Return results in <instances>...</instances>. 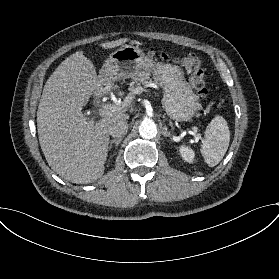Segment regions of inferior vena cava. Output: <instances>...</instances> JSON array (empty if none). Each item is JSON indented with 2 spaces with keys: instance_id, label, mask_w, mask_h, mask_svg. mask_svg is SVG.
<instances>
[{
  "instance_id": "1",
  "label": "inferior vena cava",
  "mask_w": 279,
  "mask_h": 279,
  "mask_svg": "<svg viewBox=\"0 0 279 279\" xmlns=\"http://www.w3.org/2000/svg\"><path fill=\"white\" fill-rule=\"evenodd\" d=\"M128 127L127 121L121 119L111 125L108 129V132L114 138H122L127 134Z\"/></svg>"
}]
</instances>
